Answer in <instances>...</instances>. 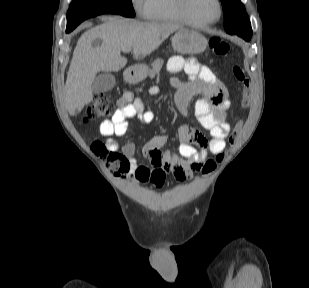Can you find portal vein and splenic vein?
Listing matches in <instances>:
<instances>
[{
    "label": "portal vein and splenic vein",
    "mask_w": 309,
    "mask_h": 288,
    "mask_svg": "<svg viewBox=\"0 0 309 288\" xmlns=\"http://www.w3.org/2000/svg\"><path fill=\"white\" fill-rule=\"evenodd\" d=\"M131 49H132V48L129 47V46H128V47H123V48H122V51L127 53V52H130Z\"/></svg>",
    "instance_id": "18ae733b"
}]
</instances>
